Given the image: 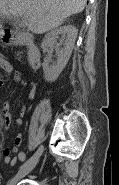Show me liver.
Masks as SVG:
<instances>
[{
	"mask_svg": "<svg viewBox=\"0 0 119 185\" xmlns=\"http://www.w3.org/2000/svg\"><path fill=\"white\" fill-rule=\"evenodd\" d=\"M87 0H0V15L24 16L28 29L43 34L84 10ZM2 25L0 24V30Z\"/></svg>",
	"mask_w": 119,
	"mask_h": 185,
	"instance_id": "liver-1",
	"label": "liver"
}]
</instances>
